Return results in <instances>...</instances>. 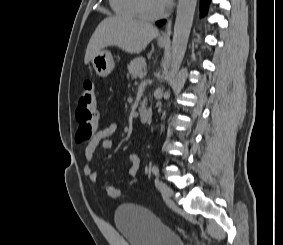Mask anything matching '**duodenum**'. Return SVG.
<instances>
[{"mask_svg":"<svg viewBox=\"0 0 283 245\" xmlns=\"http://www.w3.org/2000/svg\"><path fill=\"white\" fill-rule=\"evenodd\" d=\"M139 119L141 122L147 124L152 120V110L150 108H144L139 112Z\"/></svg>","mask_w":283,"mask_h":245,"instance_id":"obj_1","label":"duodenum"}]
</instances>
